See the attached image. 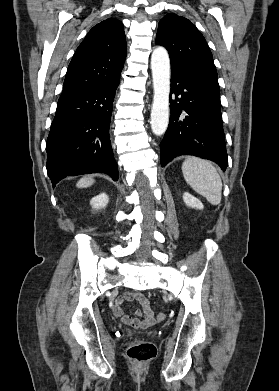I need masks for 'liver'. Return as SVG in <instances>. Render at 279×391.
<instances>
[{
  "mask_svg": "<svg viewBox=\"0 0 279 391\" xmlns=\"http://www.w3.org/2000/svg\"><path fill=\"white\" fill-rule=\"evenodd\" d=\"M93 183L94 179L91 176H85L77 182L76 186L78 188H86L91 186Z\"/></svg>",
  "mask_w": 279,
  "mask_h": 391,
  "instance_id": "6515ba94",
  "label": "liver"
}]
</instances>
